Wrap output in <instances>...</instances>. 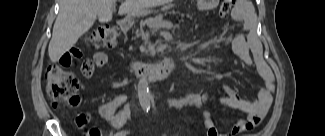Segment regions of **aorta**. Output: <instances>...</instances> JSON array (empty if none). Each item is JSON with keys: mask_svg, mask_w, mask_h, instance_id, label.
Returning a JSON list of instances; mask_svg holds the SVG:
<instances>
[{"mask_svg": "<svg viewBox=\"0 0 325 136\" xmlns=\"http://www.w3.org/2000/svg\"><path fill=\"white\" fill-rule=\"evenodd\" d=\"M138 98L143 110H149L151 106V97L148 87V81L141 78L138 82Z\"/></svg>", "mask_w": 325, "mask_h": 136, "instance_id": "aorta-1", "label": "aorta"}]
</instances>
